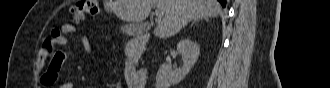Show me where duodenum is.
<instances>
[{
    "label": "duodenum",
    "mask_w": 330,
    "mask_h": 88,
    "mask_svg": "<svg viewBox=\"0 0 330 88\" xmlns=\"http://www.w3.org/2000/svg\"><path fill=\"white\" fill-rule=\"evenodd\" d=\"M147 41V36L144 33H139L135 38L127 43L126 51L130 56V66L129 71L132 72L130 77V83L133 87H137L141 83L140 77L137 75L136 71L132 66V57L135 52Z\"/></svg>",
    "instance_id": "1"
}]
</instances>
